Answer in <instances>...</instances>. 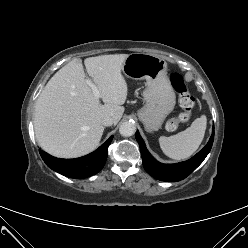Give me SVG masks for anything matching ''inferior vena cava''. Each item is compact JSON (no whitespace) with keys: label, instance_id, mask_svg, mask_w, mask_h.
<instances>
[{"label":"inferior vena cava","instance_id":"1","mask_svg":"<svg viewBox=\"0 0 248 248\" xmlns=\"http://www.w3.org/2000/svg\"><path fill=\"white\" fill-rule=\"evenodd\" d=\"M101 123L103 126H111L114 123V119L111 116H105Z\"/></svg>","mask_w":248,"mask_h":248}]
</instances>
